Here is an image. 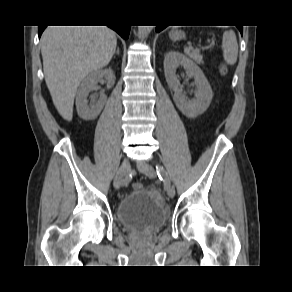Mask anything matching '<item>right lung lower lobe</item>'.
Here are the masks:
<instances>
[{"mask_svg":"<svg viewBox=\"0 0 292 292\" xmlns=\"http://www.w3.org/2000/svg\"><path fill=\"white\" fill-rule=\"evenodd\" d=\"M109 27L112 28L113 30H115L121 37H123L124 39H127L131 26L121 25V24H113V25H109ZM45 28H46V26H44V27L39 26L38 27L39 37L41 36V34Z\"/></svg>","mask_w":292,"mask_h":292,"instance_id":"obj_1","label":"right lung lower lobe"}]
</instances>
